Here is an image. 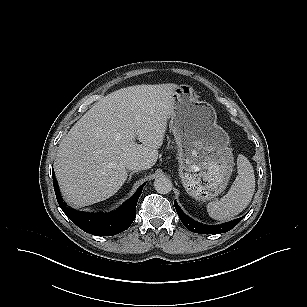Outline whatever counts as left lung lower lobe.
I'll use <instances>...</instances> for the list:
<instances>
[{"mask_svg": "<svg viewBox=\"0 0 307 307\" xmlns=\"http://www.w3.org/2000/svg\"><path fill=\"white\" fill-rule=\"evenodd\" d=\"M174 205L176 211L179 215L182 223L188 228L191 232L199 233V234H220L230 231L233 227H235L243 217L237 218L233 221H229L220 225H205L201 224L190 217H188L179 207L176 201H174Z\"/></svg>", "mask_w": 307, "mask_h": 307, "instance_id": "left-lung-lower-lobe-1", "label": "left lung lower lobe"}]
</instances>
